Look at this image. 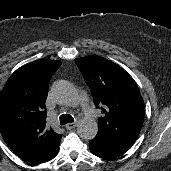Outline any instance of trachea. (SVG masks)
<instances>
[{"mask_svg": "<svg viewBox=\"0 0 171 171\" xmlns=\"http://www.w3.org/2000/svg\"><path fill=\"white\" fill-rule=\"evenodd\" d=\"M60 124L65 125L67 123H72L74 121L73 117L69 114H63L59 118Z\"/></svg>", "mask_w": 171, "mask_h": 171, "instance_id": "3493384b", "label": "trachea"}]
</instances>
